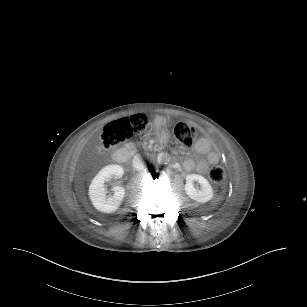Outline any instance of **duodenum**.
<instances>
[{"label": "duodenum", "mask_w": 307, "mask_h": 307, "mask_svg": "<svg viewBox=\"0 0 307 307\" xmlns=\"http://www.w3.org/2000/svg\"><path fill=\"white\" fill-rule=\"evenodd\" d=\"M113 160L118 164H124L128 159V152L124 148H119L112 153Z\"/></svg>", "instance_id": "410a0bca"}]
</instances>
